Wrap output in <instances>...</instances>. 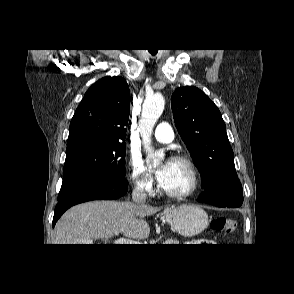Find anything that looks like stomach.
<instances>
[{"mask_svg": "<svg viewBox=\"0 0 294 294\" xmlns=\"http://www.w3.org/2000/svg\"><path fill=\"white\" fill-rule=\"evenodd\" d=\"M171 227L184 237L200 234L208 225L207 213L198 205H181L166 209Z\"/></svg>", "mask_w": 294, "mask_h": 294, "instance_id": "obj_1", "label": "stomach"}]
</instances>
